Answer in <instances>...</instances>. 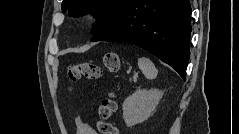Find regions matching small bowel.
<instances>
[{
  "instance_id": "obj_1",
  "label": "small bowel",
  "mask_w": 239,
  "mask_h": 134,
  "mask_svg": "<svg viewBox=\"0 0 239 134\" xmlns=\"http://www.w3.org/2000/svg\"><path fill=\"white\" fill-rule=\"evenodd\" d=\"M77 134H96V131L80 116L76 115Z\"/></svg>"
}]
</instances>
